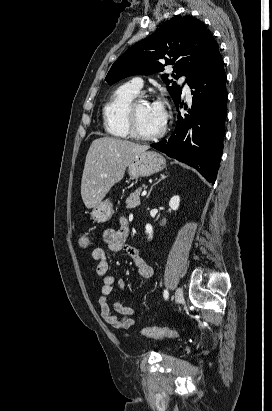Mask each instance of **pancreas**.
Wrapping results in <instances>:
<instances>
[{"label": "pancreas", "mask_w": 272, "mask_h": 411, "mask_svg": "<svg viewBox=\"0 0 272 411\" xmlns=\"http://www.w3.org/2000/svg\"><path fill=\"white\" fill-rule=\"evenodd\" d=\"M142 188L137 189L135 192L131 193L126 199V208L132 209L140 205V193Z\"/></svg>", "instance_id": "cf45deb5"}]
</instances>
